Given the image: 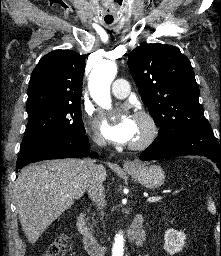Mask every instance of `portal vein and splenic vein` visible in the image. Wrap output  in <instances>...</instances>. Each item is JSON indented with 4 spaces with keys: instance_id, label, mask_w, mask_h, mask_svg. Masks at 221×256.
I'll list each match as a JSON object with an SVG mask.
<instances>
[{
    "instance_id": "portal-vein-and-splenic-vein-1",
    "label": "portal vein and splenic vein",
    "mask_w": 221,
    "mask_h": 256,
    "mask_svg": "<svg viewBox=\"0 0 221 256\" xmlns=\"http://www.w3.org/2000/svg\"><path fill=\"white\" fill-rule=\"evenodd\" d=\"M161 198H162V197H160V196L149 197V198L147 199V202H149V203L157 202V201H160Z\"/></svg>"
}]
</instances>
